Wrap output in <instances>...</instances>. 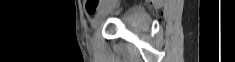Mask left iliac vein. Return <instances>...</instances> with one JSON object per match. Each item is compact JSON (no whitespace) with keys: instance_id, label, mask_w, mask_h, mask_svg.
<instances>
[{"instance_id":"left-iliac-vein-1","label":"left iliac vein","mask_w":235,"mask_h":62,"mask_svg":"<svg viewBox=\"0 0 235 62\" xmlns=\"http://www.w3.org/2000/svg\"><path fill=\"white\" fill-rule=\"evenodd\" d=\"M116 3H108V4H104L99 13L96 15V17L93 19L92 21V27L94 29H97L102 22L104 21V19L107 17V15L115 8Z\"/></svg>"}]
</instances>
